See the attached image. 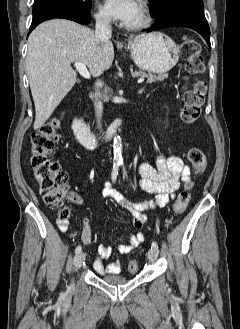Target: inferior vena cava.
<instances>
[{
    "mask_svg": "<svg viewBox=\"0 0 240 329\" xmlns=\"http://www.w3.org/2000/svg\"><path fill=\"white\" fill-rule=\"evenodd\" d=\"M111 25L110 19L105 16L96 17V26H95V38L98 42H104L111 38ZM97 87H102V83L98 81L95 84ZM95 112L98 118V125L101 128L100 118L102 116L103 104L100 99L95 96Z\"/></svg>",
    "mask_w": 240,
    "mask_h": 329,
    "instance_id": "inferior-vena-cava-1",
    "label": "inferior vena cava"
}]
</instances>
